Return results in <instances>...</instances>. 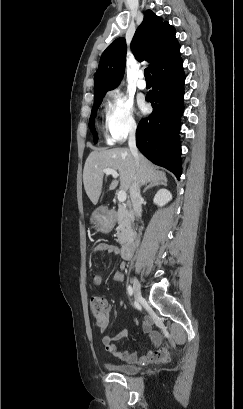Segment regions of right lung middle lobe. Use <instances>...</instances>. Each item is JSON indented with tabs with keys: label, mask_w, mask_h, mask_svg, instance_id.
Returning <instances> with one entry per match:
<instances>
[{
	"label": "right lung middle lobe",
	"mask_w": 243,
	"mask_h": 409,
	"mask_svg": "<svg viewBox=\"0 0 243 409\" xmlns=\"http://www.w3.org/2000/svg\"><path fill=\"white\" fill-rule=\"evenodd\" d=\"M101 102H102V98L94 100V105H93L90 120H89V128H90V130H91V132L93 134L94 143H97V141H98V135H97V132H96L95 127H94V122H95L94 118L96 117L97 109L100 106Z\"/></svg>",
	"instance_id": "1"
}]
</instances>
